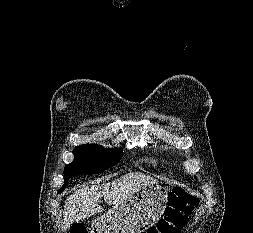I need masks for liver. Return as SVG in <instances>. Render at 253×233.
<instances>
[{"mask_svg": "<svg viewBox=\"0 0 253 233\" xmlns=\"http://www.w3.org/2000/svg\"><path fill=\"white\" fill-rule=\"evenodd\" d=\"M158 181L140 172L129 173L121 178L102 185L85 186L68 196L65 201L62 228L66 230L74 222L82 221L101 213L103 207L98 204L101 198L109 205H116L138 190L157 184Z\"/></svg>", "mask_w": 253, "mask_h": 233, "instance_id": "obj_1", "label": "liver"}]
</instances>
